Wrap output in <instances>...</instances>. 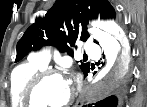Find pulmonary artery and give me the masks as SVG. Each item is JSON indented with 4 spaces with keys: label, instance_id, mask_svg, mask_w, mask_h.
Listing matches in <instances>:
<instances>
[{
    "label": "pulmonary artery",
    "instance_id": "obj_1",
    "mask_svg": "<svg viewBox=\"0 0 147 107\" xmlns=\"http://www.w3.org/2000/svg\"><path fill=\"white\" fill-rule=\"evenodd\" d=\"M84 50L91 57H99L100 55L99 47L90 43L84 45ZM33 60L46 66L50 61L49 51L46 50L42 53L35 54Z\"/></svg>",
    "mask_w": 147,
    "mask_h": 107
}]
</instances>
